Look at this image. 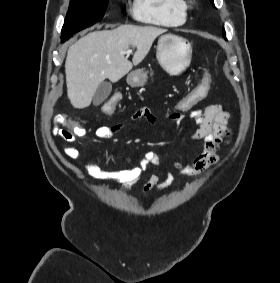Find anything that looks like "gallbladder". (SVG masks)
<instances>
[{
	"label": "gallbladder",
	"instance_id": "bac80fb5",
	"mask_svg": "<svg viewBox=\"0 0 280 283\" xmlns=\"http://www.w3.org/2000/svg\"><path fill=\"white\" fill-rule=\"evenodd\" d=\"M112 91V85L110 82L103 81L97 87L95 94L93 96V104L94 106H98L108 98Z\"/></svg>",
	"mask_w": 280,
	"mask_h": 283
}]
</instances>
